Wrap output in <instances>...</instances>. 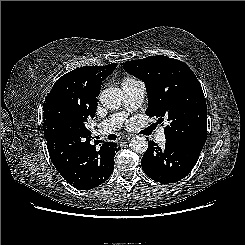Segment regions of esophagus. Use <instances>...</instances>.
<instances>
[{
	"label": "esophagus",
	"mask_w": 245,
	"mask_h": 245,
	"mask_svg": "<svg viewBox=\"0 0 245 245\" xmlns=\"http://www.w3.org/2000/svg\"><path fill=\"white\" fill-rule=\"evenodd\" d=\"M132 138V135H122L120 136L119 140L122 142V143H127L130 139Z\"/></svg>",
	"instance_id": "34e87169"
}]
</instances>
